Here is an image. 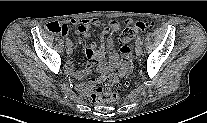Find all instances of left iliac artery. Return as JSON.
Wrapping results in <instances>:
<instances>
[{"mask_svg": "<svg viewBox=\"0 0 207 123\" xmlns=\"http://www.w3.org/2000/svg\"><path fill=\"white\" fill-rule=\"evenodd\" d=\"M136 43H141L142 44V38L140 36L137 37Z\"/></svg>", "mask_w": 207, "mask_h": 123, "instance_id": "left-iliac-artery-1", "label": "left iliac artery"}]
</instances>
